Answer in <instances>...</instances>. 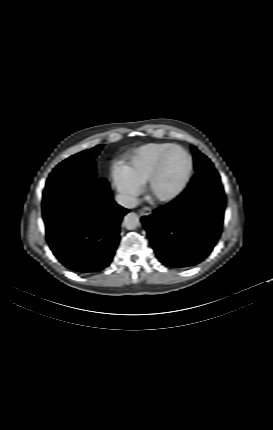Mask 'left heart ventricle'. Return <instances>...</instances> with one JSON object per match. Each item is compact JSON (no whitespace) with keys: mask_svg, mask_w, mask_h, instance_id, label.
Returning a JSON list of instances; mask_svg holds the SVG:
<instances>
[{"mask_svg":"<svg viewBox=\"0 0 273 430\" xmlns=\"http://www.w3.org/2000/svg\"><path fill=\"white\" fill-rule=\"evenodd\" d=\"M188 162L184 154L179 150H173L167 156L161 175L156 185L159 194L171 192L182 180Z\"/></svg>","mask_w":273,"mask_h":430,"instance_id":"obj_1","label":"left heart ventricle"}]
</instances>
